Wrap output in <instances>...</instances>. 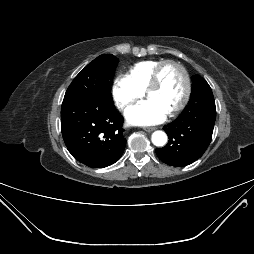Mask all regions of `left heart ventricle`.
<instances>
[{"instance_id": "1", "label": "left heart ventricle", "mask_w": 254, "mask_h": 254, "mask_svg": "<svg viewBox=\"0 0 254 254\" xmlns=\"http://www.w3.org/2000/svg\"><path fill=\"white\" fill-rule=\"evenodd\" d=\"M183 93L184 79L181 71L174 65H167L162 71L159 86L148 95V98L169 113L180 102Z\"/></svg>"}]
</instances>
